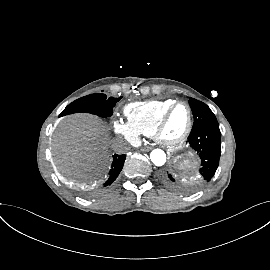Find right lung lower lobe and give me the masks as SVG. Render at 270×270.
<instances>
[{
    "instance_id": "98d812e1",
    "label": "right lung lower lobe",
    "mask_w": 270,
    "mask_h": 270,
    "mask_svg": "<svg viewBox=\"0 0 270 270\" xmlns=\"http://www.w3.org/2000/svg\"><path fill=\"white\" fill-rule=\"evenodd\" d=\"M125 161V155H117L113 156L112 168L109 172V178L103 184L104 187H107L113 183V181L117 178L120 171L122 170L123 164Z\"/></svg>"
}]
</instances>
